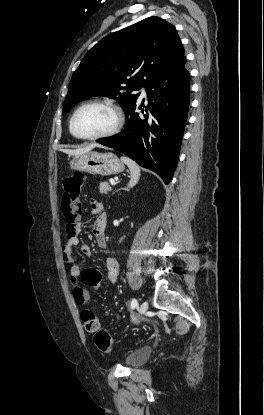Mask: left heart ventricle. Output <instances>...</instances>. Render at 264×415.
I'll return each instance as SVG.
<instances>
[{
  "label": "left heart ventricle",
  "instance_id": "left-heart-ventricle-1",
  "mask_svg": "<svg viewBox=\"0 0 264 415\" xmlns=\"http://www.w3.org/2000/svg\"><path fill=\"white\" fill-rule=\"evenodd\" d=\"M114 113L107 107L92 105L83 108L76 116V130L86 136L110 130L114 125Z\"/></svg>",
  "mask_w": 264,
  "mask_h": 415
}]
</instances>
